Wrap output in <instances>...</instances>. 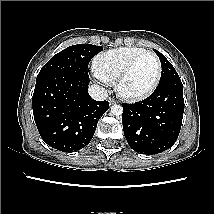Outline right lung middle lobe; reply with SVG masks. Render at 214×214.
Returning <instances> with one entry per match:
<instances>
[{
    "label": "right lung middle lobe",
    "mask_w": 214,
    "mask_h": 214,
    "mask_svg": "<svg viewBox=\"0 0 214 214\" xmlns=\"http://www.w3.org/2000/svg\"><path fill=\"white\" fill-rule=\"evenodd\" d=\"M102 50V46L91 44L70 46L54 55L43 66L37 76V80L53 74H67L89 79L88 64Z\"/></svg>",
    "instance_id": "right-lung-middle-lobe-1"
}]
</instances>
